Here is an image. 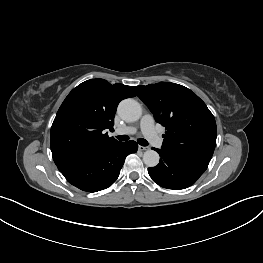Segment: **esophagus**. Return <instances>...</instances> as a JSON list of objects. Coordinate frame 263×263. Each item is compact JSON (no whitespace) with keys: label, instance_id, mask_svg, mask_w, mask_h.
<instances>
[{"label":"esophagus","instance_id":"esophagus-1","mask_svg":"<svg viewBox=\"0 0 263 263\" xmlns=\"http://www.w3.org/2000/svg\"><path fill=\"white\" fill-rule=\"evenodd\" d=\"M138 150H139V151H146V150H148V147L139 145V146H138Z\"/></svg>","mask_w":263,"mask_h":263}]
</instances>
